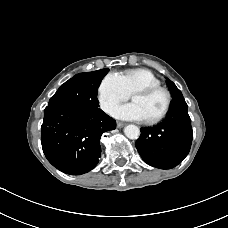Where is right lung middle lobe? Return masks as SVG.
<instances>
[{"instance_id":"obj_1","label":"right lung middle lobe","mask_w":228,"mask_h":228,"mask_svg":"<svg viewBox=\"0 0 228 228\" xmlns=\"http://www.w3.org/2000/svg\"><path fill=\"white\" fill-rule=\"evenodd\" d=\"M109 69L79 73L65 82L49 100L48 106L60 105L76 110L99 107L98 87Z\"/></svg>"}]
</instances>
